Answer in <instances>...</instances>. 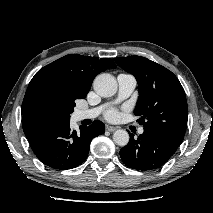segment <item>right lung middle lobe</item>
<instances>
[{
    "label": "right lung middle lobe",
    "instance_id": "right-lung-middle-lobe-1",
    "mask_svg": "<svg viewBox=\"0 0 213 213\" xmlns=\"http://www.w3.org/2000/svg\"><path fill=\"white\" fill-rule=\"evenodd\" d=\"M77 99L83 98L51 85H38L26 92L21 114L50 120L69 121Z\"/></svg>",
    "mask_w": 213,
    "mask_h": 213
}]
</instances>
